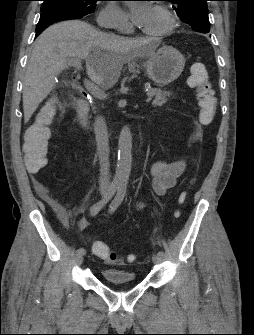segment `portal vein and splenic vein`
I'll list each match as a JSON object with an SVG mask.
<instances>
[{"instance_id":"obj_1","label":"portal vein and splenic vein","mask_w":254,"mask_h":335,"mask_svg":"<svg viewBox=\"0 0 254 335\" xmlns=\"http://www.w3.org/2000/svg\"><path fill=\"white\" fill-rule=\"evenodd\" d=\"M69 65L74 66L76 69L80 70L82 68L81 65V58L75 57L73 59L68 60ZM85 88L89 91L92 95L97 97L98 99H105L107 97L106 93L102 91L97 85L92 83L91 81L85 80L84 81ZM152 100L151 96H148L145 100L146 103H149Z\"/></svg>"}]
</instances>
